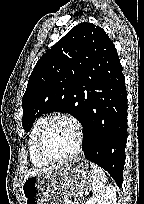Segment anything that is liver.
<instances>
[{
    "instance_id": "6515ba94",
    "label": "liver",
    "mask_w": 144,
    "mask_h": 204,
    "mask_svg": "<svg viewBox=\"0 0 144 204\" xmlns=\"http://www.w3.org/2000/svg\"><path fill=\"white\" fill-rule=\"evenodd\" d=\"M51 169V167H47V168H39V169H35V170H32V171H30L29 173H27V175L25 176V178H24V181L28 178V177H30V176H33V175H36V174H41V173H44V172H46V171H48V170H50ZM23 181V182H24Z\"/></svg>"
}]
</instances>
